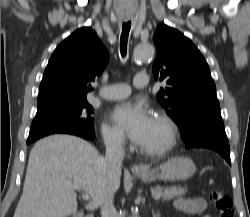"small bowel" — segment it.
<instances>
[{
	"mask_svg": "<svg viewBox=\"0 0 250 217\" xmlns=\"http://www.w3.org/2000/svg\"><path fill=\"white\" fill-rule=\"evenodd\" d=\"M176 210L191 215H202L203 217H210L204 215L207 208V202L204 198L198 197L194 199L178 198L174 202Z\"/></svg>",
	"mask_w": 250,
	"mask_h": 217,
	"instance_id": "obj_1",
	"label": "small bowel"
}]
</instances>
